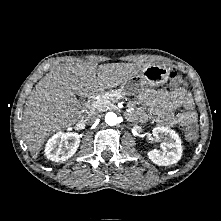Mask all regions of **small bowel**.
I'll use <instances>...</instances> for the list:
<instances>
[{
	"mask_svg": "<svg viewBox=\"0 0 221 221\" xmlns=\"http://www.w3.org/2000/svg\"><path fill=\"white\" fill-rule=\"evenodd\" d=\"M159 97L162 102V108L156 117L159 124L175 126L196 120L193 98L185 89L176 88L171 91H163ZM179 107H183L184 110L176 113L175 111Z\"/></svg>",
	"mask_w": 221,
	"mask_h": 221,
	"instance_id": "small-bowel-1",
	"label": "small bowel"
}]
</instances>
